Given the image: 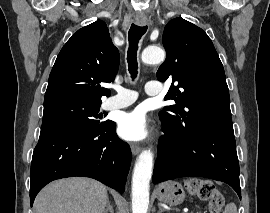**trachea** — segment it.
<instances>
[{
  "label": "trachea",
  "instance_id": "obj_1",
  "mask_svg": "<svg viewBox=\"0 0 270 213\" xmlns=\"http://www.w3.org/2000/svg\"><path fill=\"white\" fill-rule=\"evenodd\" d=\"M147 26H137L132 24L129 30V49L127 52V62H128V70L131 74V77L134 79L137 77V50H138V42L141 37L146 33Z\"/></svg>",
  "mask_w": 270,
  "mask_h": 213
}]
</instances>
